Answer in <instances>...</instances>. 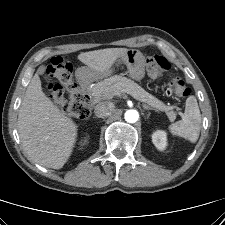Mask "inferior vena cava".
<instances>
[{
    "label": "inferior vena cava",
    "instance_id": "602c4592",
    "mask_svg": "<svg viewBox=\"0 0 225 225\" xmlns=\"http://www.w3.org/2000/svg\"><path fill=\"white\" fill-rule=\"evenodd\" d=\"M114 110V106L109 102H100L95 106L94 113L97 117L103 118L109 116Z\"/></svg>",
    "mask_w": 225,
    "mask_h": 225
}]
</instances>
